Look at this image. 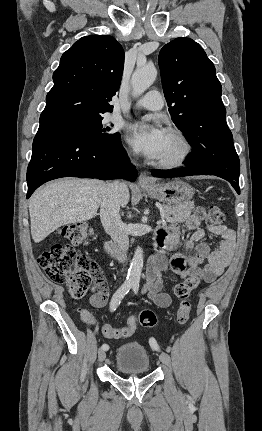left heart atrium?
I'll use <instances>...</instances> for the list:
<instances>
[{"mask_svg":"<svg viewBox=\"0 0 262 431\" xmlns=\"http://www.w3.org/2000/svg\"><path fill=\"white\" fill-rule=\"evenodd\" d=\"M167 132L158 124L138 122L129 126L128 141L145 156L157 159L163 148Z\"/></svg>","mask_w":262,"mask_h":431,"instance_id":"obj_1","label":"left heart atrium"}]
</instances>
